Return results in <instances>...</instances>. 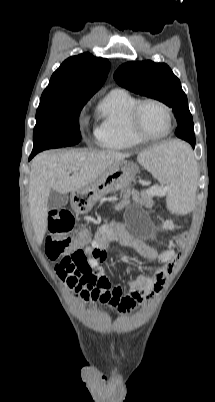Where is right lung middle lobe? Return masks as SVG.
<instances>
[{"instance_id":"right-lung-middle-lobe-1","label":"right lung middle lobe","mask_w":215,"mask_h":402,"mask_svg":"<svg viewBox=\"0 0 215 402\" xmlns=\"http://www.w3.org/2000/svg\"><path fill=\"white\" fill-rule=\"evenodd\" d=\"M90 98L42 97L36 112L31 156L49 149L72 146L81 140L79 114Z\"/></svg>"}]
</instances>
